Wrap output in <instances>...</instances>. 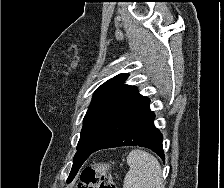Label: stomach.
Masks as SVG:
<instances>
[{"label":"stomach","mask_w":224,"mask_h":188,"mask_svg":"<svg viewBox=\"0 0 224 188\" xmlns=\"http://www.w3.org/2000/svg\"><path fill=\"white\" fill-rule=\"evenodd\" d=\"M109 168H110L109 164L105 163H99L94 166V170L97 173H106L109 170Z\"/></svg>","instance_id":"stomach-1"}]
</instances>
